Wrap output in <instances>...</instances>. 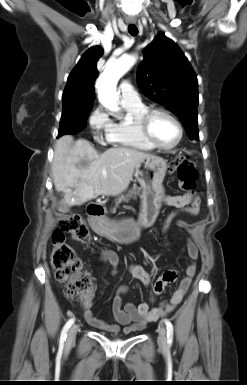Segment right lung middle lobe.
<instances>
[{"mask_svg":"<svg viewBox=\"0 0 247 385\" xmlns=\"http://www.w3.org/2000/svg\"><path fill=\"white\" fill-rule=\"evenodd\" d=\"M92 108V105L63 104L58 138L64 134L73 135L83 130L87 125V117Z\"/></svg>","mask_w":247,"mask_h":385,"instance_id":"1","label":"right lung middle lobe"}]
</instances>
